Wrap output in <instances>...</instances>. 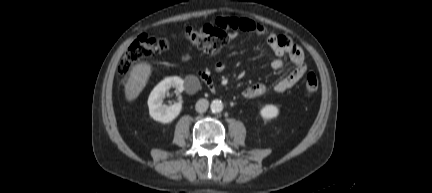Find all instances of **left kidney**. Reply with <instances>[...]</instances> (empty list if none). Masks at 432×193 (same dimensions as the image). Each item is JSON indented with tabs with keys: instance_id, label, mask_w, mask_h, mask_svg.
<instances>
[{
	"instance_id": "left-kidney-1",
	"label": "left kidney",
	"mask_w": 432,
	"mask_h": 193,
	"mask_svg": "<svg viewBox=\"0 0 432 193\" xmlns=\"http://www.w3.org/2000/svg\"><path fill=\"white\" fill-rule=\"evenodd\" d=\"M260 115L267 120L274 119L279 115V109L275 105L268 104L260 110Z\"/></svg>"
}]
</instances>
